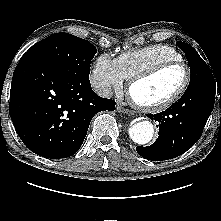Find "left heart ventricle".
<instances>
[{"label": "left heart ventricle", "instance_id": "b2bd125f", "mask_svg": "<svg viewBox=\"0 0 221 221\" xmlns=\"http://www.w3.org/2000/svg\"><path fill=\"white\" fill-rule=\"evenodd\" d=\"M184 78L182 66L170 67L136 84L133 96L143 104H158L171 97L181 87Z\"/></svg>", "mask_w": 221, "mask_h": 221}]
</instances>
